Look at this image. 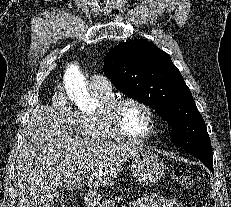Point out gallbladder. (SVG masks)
I'll list each match as a JSON object with an SVG mask.
<instances>
[{
    "instance_id": "1",
    "label": "gallbladder",
    "mask_w": 231,
    "mask_h": 207,
    "mask_svg": "<svg viewBox=\"0 0 231 207\" xmlns=\"http://www.w3.org/2000/svg\"><path fill=\"white\" fill-rule=\"evenodd\" d=\"M71 194L66 193L64 191H58L52 200H50V203L56 207L62 205L64 202L70 200Z\"/></svg>"
}]
</instances>
